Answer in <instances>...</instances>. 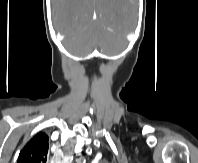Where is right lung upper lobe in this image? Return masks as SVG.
<instances>
[{"instance_id": "1", "label": "right lung upper lobe", "mask_w": 198, "mask_h": 163, "mask_svg": "<svg viewBox=\"0 0 198 163\" xmlns=\"http://www.w3.org/2000/svg\"><path fill=\"white\" fill-rule=\"evenodd\" d=\"M48 148V136L40 132L21 150L17 163H45Z\"/></svg>"}]
</instances>
